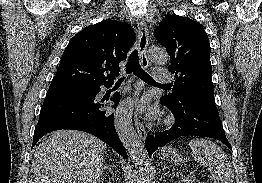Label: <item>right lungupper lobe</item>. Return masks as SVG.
I'll return each instance as SVG.
<instances>
[{"instance_id": "right-lung-upper-lobe-1", "label": "right lung upper lobe", "mask_w": 262, "mask_h": 183, "mask_svg": "<svg viewBox=\"0 0 262 183\" xmlns=\"http://www.w3.org/2000/svg\"><path fill=\"white\" fill-rule=\"evenodd\" d=\"M134 40L125 22L104 20L84 28L67 45L49 90L112 83Z\"/></svg>"}]
</instances>
